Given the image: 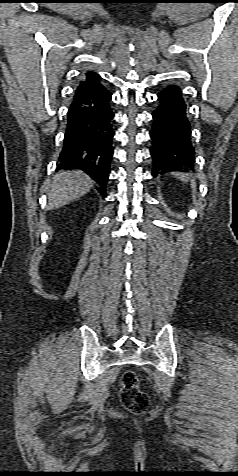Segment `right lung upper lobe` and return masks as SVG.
I'll return each mask as SVG.
<instances>
[{"label":"right lung upper lobe","mask_w":238,"mask_h":476,"mask_svg":"<svg viewBox=\"0 0 238 476\" xmlns=\"http://www.w3.org/2000/svg\"><path fill=\"white\" fill-rule=\"evenodd\" d=\"M98 77H99L98 75H96L95 73H93L91 71L87 72L86 73V79L84 81H80L79 86L77 87V89L75 91L74 97L77 96L78 94L82 93L83 91H85L89 87H91L94 84V82H96Z\"/></svg>","instance_id":"1"}]
</instances>
